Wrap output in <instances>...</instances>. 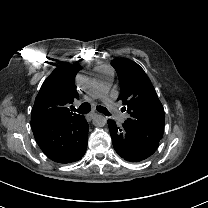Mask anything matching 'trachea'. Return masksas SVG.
Returning a JSON list of instances; mask_svg holds the SVG:
<instances>
[{
    "label": "trachea",
    "instance_id": "trachea-1",
    "mask_svg": "<svg viewBox=\"0 0 208 208\" xmlns=\"http://www.w3.org/2000/svg\"><path fill=\"white\" fill-rule=\"evenodd\" d=\"M90 110H91V106L87 102L81 104L77 110L75 109V111H77L78 113H81V114L89 113ZM97 111H99L105 115H109L108 110L106 108H104L103 106H97Z\"/></svg>",
    "mask_w": 208,
    "mask_h": 208
}]
</instances>
